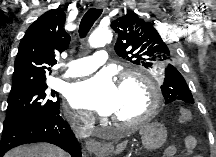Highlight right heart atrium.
<instances>
[{
    "label": "right heart atrium",
    "instance_id": "right-heart-atrium-1",
    "mask_svg": "<svg viewBox=\"0 0 216 157\" xmlns=\"http://www.w3.org/2000/svg\"><path fill=\"white\" fill-rule=\"evenodd\" d=\"M63 114L68 120L74 124H77L81 129L88 127L91 123V116L86 113L75 114L67 107H64Z\"/></svg>",
    "mask_w": 216,
    "mask_h": 157
}]
</instances>
